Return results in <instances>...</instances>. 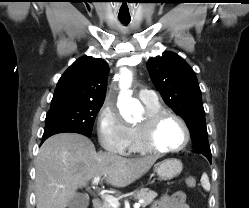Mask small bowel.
I'll return each mask as SVG.
<instances>
[{
	"label": "small bowel",
	"instance_id": "c3829d8e",
	"mask_svg": "<svg viewBox=\"0 0 249 208\" xmlns=\"http://www.w3.org/2000/svg\"><path fill=\"white\" fill-rule=\"evenodd\" d=\"M150 208H189L185 202V194L177 191L162 195Z\"/></svg>",
	"mask_w": 249,
	"mask_h": 208
}]
</instances>
